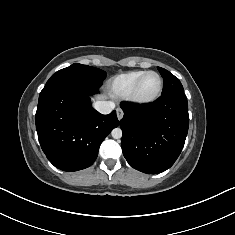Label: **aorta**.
Returning <instances> with one entry per match:
<instances>
[{
  "mask_svg": "<svg viewBox=\"0 0 235 235\" xmlns=\"http://www.w3.org/2000/svg\"><path fill=\"white\" fill-rule=\"evenodd\" d=\"M111 135L114 139H120L122 137V130L120 128H115L112 130Z\"/></svg>",
  "mask_w": 235,
  "mask_h": 235,
  "instance_id": "aorta-1",
  "label": "aorta"
}]
</instances>
